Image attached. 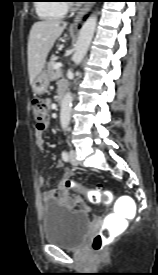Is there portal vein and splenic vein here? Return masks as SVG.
Returning <instances> with one entry per match:
<instances>
[{
  "label": "portal vein and splenic vein",
  "instance_id": "18ae733b",
  "mask_svg": "<svg viewBox=\"0 0 158 275\" xmlns=\"http://www.w3.org/2000/svg\"><path fill=\"white\" fill-rule=\"evenodd\" d=\"M63 65L61 64V63H56L55 65H54V69H59V68H61Z\"/></svg>",
  "mask_w": 158,
  "mask_h": 275
}]
</instances>
